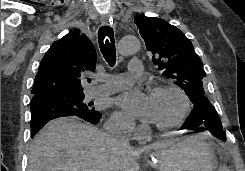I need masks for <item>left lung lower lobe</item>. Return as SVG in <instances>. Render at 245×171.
Listing matches in <instances>:
<instances>
[{
  "label": "left lung lower lobe",
  "instance_id": "0a47b994",
  "mask_svg": "<svg viewBox=\"0 0 245 171\" xmlns=\"http://www.w3.org/2000/svg\"><path fill=\"white\" fill-rule=\"evenodd\" d=\"M193 104L194 109L185 120L180 130L187 129L197 132L209 130L212 135L218 139L226 141V135L223 131L220 118L206 96L198 98Z\"/></svg>",
  "mask_w": 245,
  "mask_h": 171
}]
</instances>
